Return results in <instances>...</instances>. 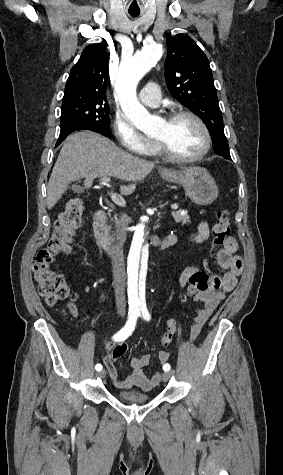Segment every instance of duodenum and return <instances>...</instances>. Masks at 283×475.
I'll list each match as a JSON object with an SVG mask.
<instances>
[{
    "mask_svg": "<svg viewBox=\"0 0 283 475\" xmlns=\"http://www.w3.org/2000/svg\"><path fill=\"white\" fill-rule=\"evenodd\" d=\"M93 228L95 233V238L98 245L104 250V252L109 255H114V249L112 247L110 238H109V229L107 223V213L105 210H98L94 216ZM173 244L172 240L168 237L161 239L156 244V249L162 250Z\"/></svg>",
    "mask_w": 283,
    "mask_h": 475,
    "instance_id": "duodenum-1",
    "label": "duodenum"
}]
</instances>
